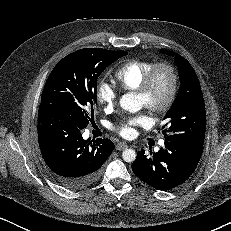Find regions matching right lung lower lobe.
I'll return each mask as SVG.
<instances>
[{
  "label": "right lung lower lobe",
  "mask_w": 231,
  "mask_h": 231,
  "mask_svg": "<svg viewBox=\"0 0 231 231\" xmlns=\"http://www.w3.org/2000/svg\"><path fill=\"white\" fill-rule=\"evenodd\" d=\"M38 141L52 176L69 189L95 182L115 147L109 139L84 140L74 119L49 103L39 106Z\"/></svg>",
  "instance_id": "obj_1"
}]
</instances>
